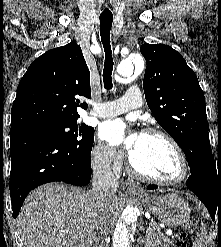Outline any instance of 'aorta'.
I'll return each mask as SVG.
<instances>
[{
    "label": "aorta",
    "mask_w": 221,
    "mask_h": 247,
    "mask_svg": "<svg viewBox=\"0 0 221 247\" xmlns=\"http://www.w3.org/2000/svg\"><path fill=\"white\" fill-rule=\"evenodd\" d=\"M144 68L140 56L131 55L117 66V73L122 77H130ZM134 225L129 226L124 220H119L113 232V247H131V235Z\"/></svg>",
    "instance_id": "obj_1"
}]
</instances>
